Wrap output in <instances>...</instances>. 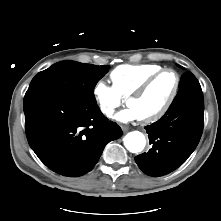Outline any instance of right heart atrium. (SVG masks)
<instances>
[{"mask_svg": "<svg viewBox=\"0 0 221 221\" xmlns=\"http://www.w3.org/2000/svg\"><path fill=\"white\" fill-rule=\"evenodd\" d=\"M92 93L99 110L108 118L113 116L115 110L122 103V97L116 89L103 80L95 83Z\"/></svg>", "mask_w": 221, "mask_h": 221, "instance_id": "d8ad5b80", "label": "right heart atrium"}]
</instances>
